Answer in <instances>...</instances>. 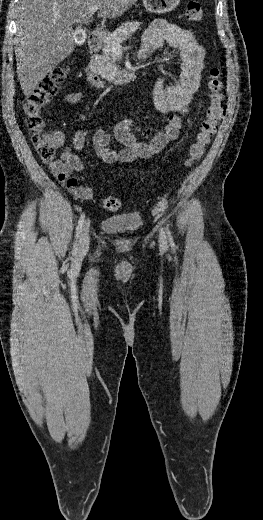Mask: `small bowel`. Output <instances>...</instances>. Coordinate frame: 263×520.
<instances>
[{
  "label": "small bowel",
  "instance_id": "obj_1",
  "mask_svg": "<svg viewBox=\"0 0 263 520\" xmlns=\"http://www.w3.org/2000/svg\"><path fill=\"white\" fill-rule=\"evenodd\" d=\"M164 47L179 52L183 60L181 73L176 80L167 83L161 77L153 86V103L165 115V125L154 132L132 119H124L114 126L113 135L103 129L97 130L93 136V147L102 164L148 160L178 137L182 128L180 116L188 112L200 85L205 51L191 31L164 20H156L143 33L139 54L146 57ZM82 97L81 92H72L66 95L65 101L76 104ZM136 134L147 141H138ZM52 136L59 147L64 145L65 136L62 132L55 131ZM113 138L123 145L121 149L111 148ZM86 139L87 130L78 129L70 145L63 149L60 158L49 164L57 181L81 200H90L93 197V187L81 183L82 163L78 153L83 149Z\"/></svg>",
  "mask_w": 263,
  "mask_h": 520
}]
</instances>
